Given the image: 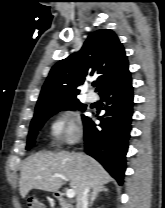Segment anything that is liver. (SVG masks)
Masks as SVG:
<instances>
[{"instance_id":"obj_1","label":"liver","mask_w":165,"mask_h":208,"mask_svg":"<svg viewBox=\"0 0 165 208\" xmlns=\"http://www.w3.org/2000/svg\"><path fill=\"white\" fill-rule=\"evenodd\" d=\"M61 174L70 180L75 195L81 193L83 184L90 189L101 187L111 181L110 175L92 157L80 153L39 152L28 157L22 166L19 191L22 198L32 189L55 192L62 185Z\"/></svg>"}]
</instances>
